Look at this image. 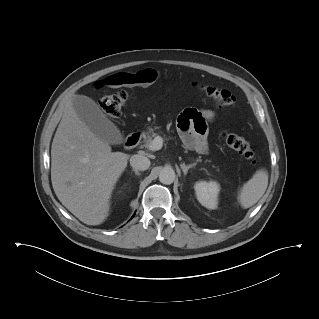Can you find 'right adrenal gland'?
<instances>
[{"mask_svg":"<svg viewBox=\"0 0 319 319\" xmlns=\"http://www.w3.org/2000/svg\"><path fill=\"white\" fill-rule=\"evenodd\" d=\"M132 171L135 173V175L140 176V173L137 170L132 169Z\"/></svg>","mask_w":319,"mask_h":319,"instance_id":"right-adrenal-gland-1","label":"right adrenal gland"}]
</instances>
